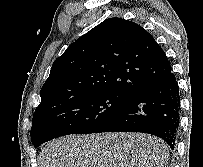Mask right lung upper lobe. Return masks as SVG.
Returning a JSON list of instances; mask_svg holds the SVG:
<instances>
[{
	"label": "right lung upper lobe",
	"mask_w": 203,
	"mask_h": 167,
	"mask_svg": "<svg viewBox=\"0 0 203 167\" xmlns=\"http://www.w3.org/2000/svg\"><path fill=\"white\" fill-rule=\"evenodd\" d=\"M170 72L165 53L144 28L122 18L106 19L54 61L35 111L98 92L129 98Z\"/></svg>",
	"instance_id": "cb5924a9"
}]
</instances>
